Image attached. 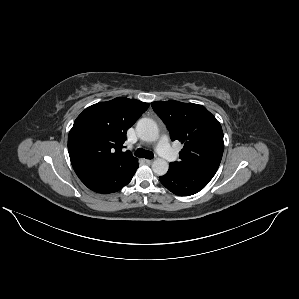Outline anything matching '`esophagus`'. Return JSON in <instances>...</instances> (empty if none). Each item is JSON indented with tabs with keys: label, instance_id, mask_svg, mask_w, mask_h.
Wrapping results in <instances>:
<instances>
[{
	"label": "esophagus",
	"instance_id": "1",
	"mask_svg": "<svg viewBox=\"0 0 299 299\" xmlns=\"http://www.w3.org/2000/svg\"><path fill=\"white\" fill-rule=\"evenodd\" d=\"M145 163L147 164H151L153 162V160H150V159H144Z\"/></svg>",
	"mask_w": 299,
	"mask_h": 299
}]
</instances>
